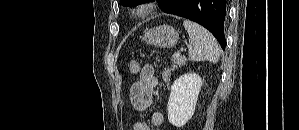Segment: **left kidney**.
I'll use <instances>...</instances> for the list:
<instances>
[{
	"instance_id": "obj_1",
	"label": "left kidney",
	"mask_w": 299,
	"mask_h": 130,
	"mask_svg": "<svg viewBox=\"0 0 299 130\" xmlns=\"http://www.w3.org/2000/svg\"><path fill=\"white\" fill-rule=\"evenodd\" d=\"M201 86L202 79L195 73L184 74L173 82L167 106L173 126L182 127L192 118Z\"/></svg>"
}]
</instances>
